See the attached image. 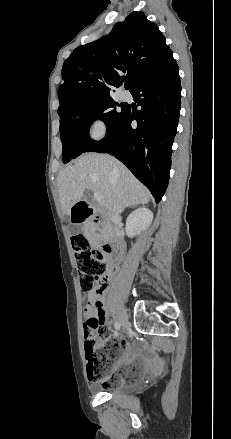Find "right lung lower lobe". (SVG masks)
Returning a JSON list of instances; mask_svg holds the SVG:
<instances>
[{"label": "right lung lower lobe", "mask_w": 231, "mask_h": 439, "mask_svg": "<svg viewBox=\"0 0 231 439\" xmlns=\"http://www.w3.org/2000/svg\"><path fill=\"white\" fill-rule=\"evenodd\" d=\"M130 93L142 109L126 107L119 121L86 151L114 155L160 202L168 186L174 136L181 108L179 68L173 56ZM137 126L132 125L133 120Z\"/></svg>", "instance_id": "1"}]
</instances>
